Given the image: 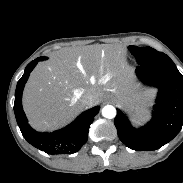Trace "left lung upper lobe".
<instances>
[{"label": "left lung upper lobe", "instance_id": "left-lung-upper-lobe-1", "mask_svg": "<svg viewBox=\"0 0 183 183\" xmlns=\"http://www.w3.org/2000/svg\"><path fill=\"white\" fill-rule=\"evenodd\" d=\"M131 54H133L139 65H151L163 61L171 60L166 54L159 52L151 47L129 46Z\"/></svg>", "mask_w": 183, "mask_h": 183}]
</instances>
